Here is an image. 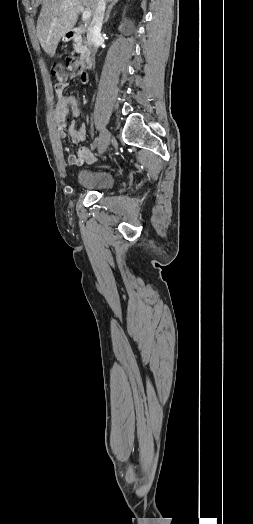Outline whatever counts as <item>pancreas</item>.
Instances as JSON below:
<instances>
[{
	"mask_svg": "<svg viewBox=\"0 0 253 524\" xmlns=\"http://www.w3.org/2000/svg\"><path fill=\"white\" fill-rule=\"evenodd\" d=\"M74 50L77 53L83 54V52L85 50V46L80 41H76L75 44H74Z\"/></svg>",
	"mask_w": 253,
	"mask_h": 524,
	"instance_id": "pancreas-1",
	"label": "pancreas"
}]
</instances>
